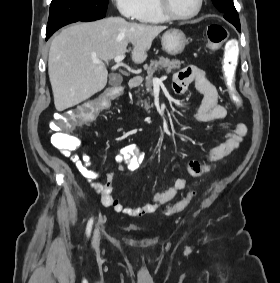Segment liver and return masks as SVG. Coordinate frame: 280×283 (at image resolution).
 I'll list each match as a JSON object with an SVG mask.
<instances>
[{"instance_id": "liver-1", "label": "liver", "mask_w": 280, "mask_h": 283, "mask_svg": "<svg viewBox=\"0 0 280 283\" xmlns=\"http://www.w3.org/2000/svg\"><path fill=\"white\" fill-rule=\"evenodd\" d=\"M166 26L127 22L108 17L95 22L73 24L57 35L50 46L48 73L57 111L89 99L107 84L103 61L127 52L133 46L132 60L143 63L153 40ZM94 60H101L96 64Z\"/></svg>"}]
</instances>
